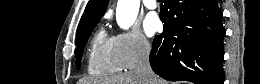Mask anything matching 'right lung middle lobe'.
Listing matches in <instances>:
<instances>
[{
    "label": "right lung middle lobe",
    "instance_id": "dd1d6c3e",
    "mask_svg": "<svg viewBox=\"0 0 260 84\" xmlns=\"http://www.w3.org/2000/svg\"><path fill=\"white\" fill-rule=\"evenodd\" d=\"M98 22L99 21L90 25L87 29H85L83 32H81L80 35H78L76 37L75 58H76L77 67H80V61H81V56H82L84 46H85L93 28L97 25Z\"/></svg>",
    "mask_w": 260,
    "mask_h": 84
}]
</instances>
